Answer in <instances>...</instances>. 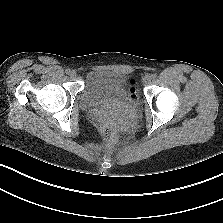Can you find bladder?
<instances>
[{
    "label": "bladder",
    "instance_id": "1",
    "mask_svg": "<svg viewBox=\"0 0 223 223\" xmlns=\"http://www.w3.org/2000/svg\"><path fill=\"white\" fill-rule=\"evenodd\" d=\"M80 103L85 107L106 103L135 107L138 97L128 88L126 76L110 71H94L87 76Z\"/></svg>",
    "mask_w": 223,
    "mask_h": 223
}]
</instances>
